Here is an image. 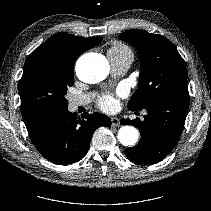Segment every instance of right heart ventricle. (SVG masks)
Masks as SVG:
<instances>
[{"instance_id": "obj_1", "label": "right heart ventricle", "mask_w": 211, "mask_h": 211, "mask_svg": "<svg viewBox=\"0 0 211 211\" xmlns=\"http://www.w3.org/2000/svg\"><path fill=\"white\" fill-rule=\"evenodd\" d=\"M108 53L114 56H120V57L130 56L133 58L132 50L127 45L121 42H114L109 48Z\"/></svg>"}]
</instances>
